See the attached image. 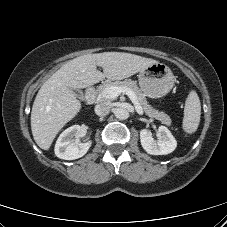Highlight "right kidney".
I'll use <instances>...</instances> for the list:
<instances>
[{
    "label": "right kidney",
    "mask_w": 227,
    "mask_h": 227,
    "mask_svg": "<svg viewBox=\"0 0 227 227\" xmlns=\"http://www.w3.org/2000/svg\"><path fill=\"white\" fill-rule=\"evenodd\" d=\"M81 133V126L73 125L63 131L55 144V155L64 160H74L84 156L92 142L85 143L75 141V138Z\"/></svg>",
    "instance_id": "1"
}]
</instances>
